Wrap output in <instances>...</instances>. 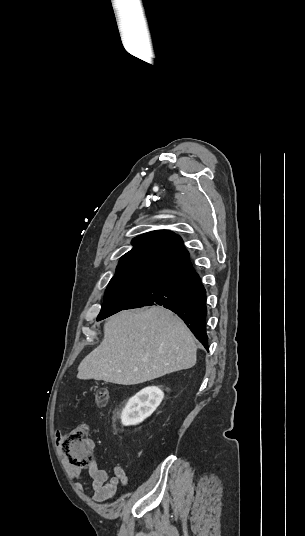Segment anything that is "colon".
Segmentation results:
<instances>
[{"label": "colon", "instance_id": "1", "mask_svg": "<svg viewBox=\"0 0 305 536\" xmlns=\"http://www.w3.org/2000/svg\"><path fill=\"white\" fill-rule=\"evenodd\" d=\"M109 399V391L100 389L96 396L98 406H104ZM88 430V425L85 423L76 426L69 435H62L61 443L62 450L67 454L68 462L72 463V468L75 471H83L86 468V463L89 458V453L93 447L88 435H85Z\"/></svg>", "mask_w": 305, "mask_h": 536}]
</instances>
